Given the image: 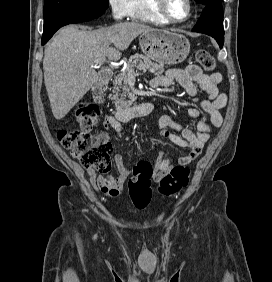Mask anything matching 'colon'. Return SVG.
I'll return each mask as SVG.
<instances>
[{
    "instance_id": "obj_1",
    "label": "colon",
    "mask_w": 272,
    "mask_h": 282,
    "mask_svg": "<svg viewBox=\"0 0 272 282\" xmlns=\"http://www.w3.org/2000/svg\"><path fill=\"white\" fill-rule=\"evenodd\" d=\"M195 58L197 63L206 70L210 72L214 70V59L207 51L197 50ZM75 118L78 127L61 129L57 134L59 142L84 168L107 174L111 169V143L106 135L95 136L91 133L98 123V106L91 102L79 104L75 109ZM148 172V164L140 162L132 169V175L128 181L131 200L138 209L146 208L152 199ZM189 175L190 171L185 166L172 168L161 178L157 188L158 194L166 198L176 196L187 186Z\"/></svg>"
}]
</instances>
